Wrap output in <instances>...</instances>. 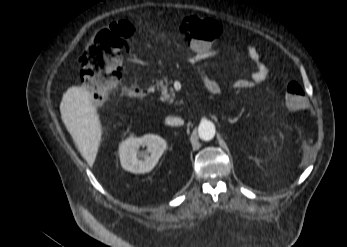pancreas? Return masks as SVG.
Returning <instances> with one entry per match:
<instances>
[{
	"mask_svg": "<svg viewBox=\"0 0 347 247\" xmlns=\"http://www.w3.org/2000/svg\"><path fill=\"white\" fill-rule=\"evenodd\" d=\"M157 89L161 90V96L160 100L161 101H167L169 103H174L175 102V92L173 88L168 87V80L167 78H164L163 80L157 81L156 85ZM182 101L180 102H175V104L180 105Z\"/></svg>",
	"mask_w": 347,
	"mask_h": 247,
	"instance_id": "obj_1",
	"label": "pancreas"
}]
</instances>
